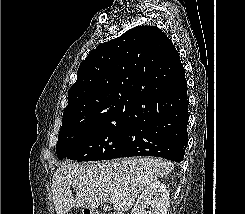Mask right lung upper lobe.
Here are the masks:
<instances>
[{"instance_id":"1","label":"right lung upper lobe","mask_w":245,"mask_h":214,"mask_svg":"<svg viewBox=\"0 0 245 214\" xmlns=\"http://www.w3.org/2000/svg\"><path fill=\"white\" fill-rule=\"evenodd\" d=\"M176 52L165 33L150 25L97 46L78 69L63 116L90 123L134 116L169 86Z\"/></svg>"}]
</instances>
